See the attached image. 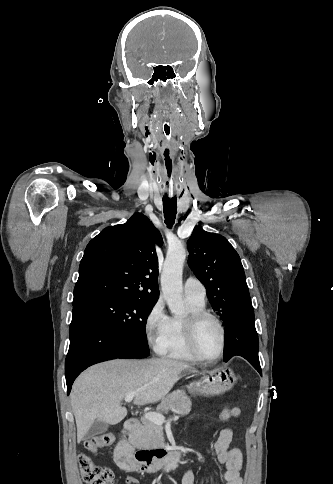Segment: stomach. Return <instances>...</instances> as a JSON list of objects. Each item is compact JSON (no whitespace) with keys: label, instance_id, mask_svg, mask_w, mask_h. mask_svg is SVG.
<instances>
[{"label":"stomach","instance_id":"1","mask_svg":"<svg viewBox=\"0 0 333 484\" xmlns=\"http://www.w3.org/2000/svg\"><path fill=\"white\" fill-rule=\"evenodd\" d=\"M201 378L187 386L191 394L219 396L229 391L236 382V376L228 366L215 368L207 372H194Z\"/></svg>","mask_w":333,"mask_h":484}]
</instances>
